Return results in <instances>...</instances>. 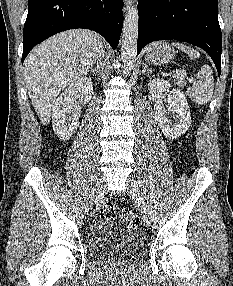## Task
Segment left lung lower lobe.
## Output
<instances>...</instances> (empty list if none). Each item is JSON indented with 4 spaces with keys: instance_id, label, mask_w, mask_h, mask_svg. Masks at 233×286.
Instances as JSON below:
<instances>
[{
    "instance_id": "1",
    "label": "left lung lower lobe",
    "mask_w": 233,
    "mask_h": 286,
    "mask_svg": "<svg viewBox=\"0 0 233 286\" xmlns=\"http://www.w3.org/2000/svg\"><path fill=\"white\" fill-rule=\"evenodd\" d=\"M137 54L152 41L174 39L204 49L221 73L217 0H140Z\"/></svg>"
}]
</instances>
